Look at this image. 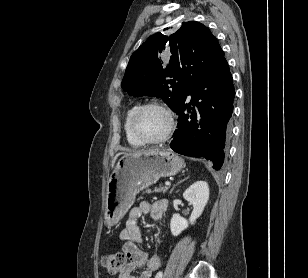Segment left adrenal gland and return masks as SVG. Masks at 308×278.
Masks as SVG:
<instances>
[{
	"label": "left adrenal gland",
	"instance_id": "left-adrenal-gland-1",
	"mask_svg": "<svg viewBox=\"0 0 308 278\" xmlns=\"http://www.w3.org/2000/svg\"><path fill=\"white\" fill-rule=\"evenodd\" d=\"M186 179H188V177L185 178V179H183V180H181V181H179L176 185H174V186L172 187V189L170 190V194H171L172 191L174 190L175 186L179 185L180 183H182V182L185 181Z\"/></svg>",
	"mask_w": 308,
	"mask_h": 278
}]
</instances>
